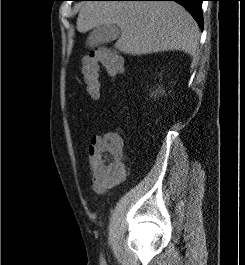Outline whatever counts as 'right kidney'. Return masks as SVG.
<instances>
[{
    "mask_svg": "<svg viewBox=\"0 0 245 265\" xmlns=\"http://www.w3.org/2000/svg\"><path fill=\"white\" fill-rule=\"evenodd\" d=\"M157 92H159V91H158V90H156V93H157ZM161 92H164V91H163V90H162V91L160 90V93H161Z\"/></svg>",
    "mask_w": 245,
    "mask_h": 265,
    "instance_id": "1",
    "label": "right kidney"
}]
</instances>
